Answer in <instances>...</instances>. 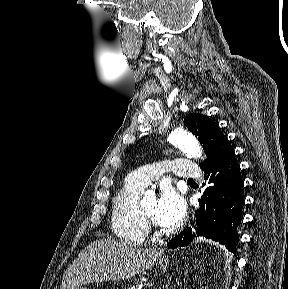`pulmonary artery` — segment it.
Returning a JSON list of instances; mask_svg holds the SVG:
<instances>
[{"label": "pulmonary artery", "mask_w": 288, "mask_h": 289, "mask_svg": "<svg viewBox=\"0 0 288 289\" xmlns=\"http://www.w3.org/2000/svg\"><path fill=\"white\" fill-rule=\"evenodd\" d=\"M170 173L180 178H199L202 173L197 165L187 159H168L161 163L140 167L130 173L126 180L145 188L160 175Z\"/></svg>", "instance_id": "obj_1"}]
</instances>
